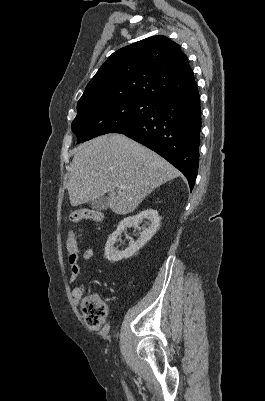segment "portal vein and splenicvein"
Here are the masks:
<instances>
[{
	"mask_svg": "<svg viewBox=\"0 0 265 401\" xmlns=\"http://www.w3.org/2000/svg\"><path fill=\"white\" fill-rule=\"evenodd\" d=\"M118 190H121V188H126V186H124V184H116Z\"/></svg>",
	"mask_w": 265,
	"mask_h": 401,
	"instance_id": "1",
	"label": "portal vein and splenic vein"
}]
</instances>
